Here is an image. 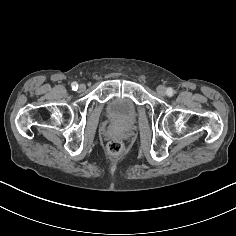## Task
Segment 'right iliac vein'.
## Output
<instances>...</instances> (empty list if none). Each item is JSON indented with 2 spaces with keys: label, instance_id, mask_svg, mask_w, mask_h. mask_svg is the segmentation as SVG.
<instances>
[{
  "label": "right iliac vein",
  "instance_id": "63e3f726",
  "mask_svg": "<svg viewBox=\"0 0 236 236\" xmlns=\"http://www.w3.org/2000/svg\"><path fill=\"white\" fill-rule=\"evenodd\" d=\"M85 89V86L83 85V84H81L80 86H79V90L80 91H83Z\"/></svg>",
  "mask_w": 236,
  "mask_h": 236
}]
</instances>
